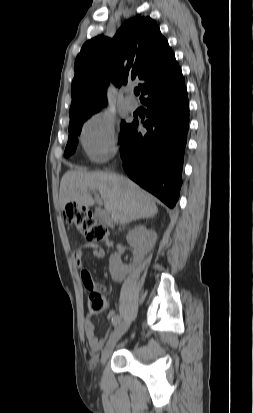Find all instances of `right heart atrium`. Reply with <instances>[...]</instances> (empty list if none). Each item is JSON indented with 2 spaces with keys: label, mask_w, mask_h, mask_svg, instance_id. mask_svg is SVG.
I'll return each instance as SVG.
<instances>
[{
  "label": "right heart atrium",
  "mask_w": 253,
  "mask_h": 413,
  "mask_svg": "<svg viewBox=\"0 0 253 413\" xmlns=\"http://www.w3.org/2000/svg\"><path fill=\"white\" fill-rule=\"evenodd\" d=\"M81 143L87 157L102 163L116 151V134L114 119L105 113L91 116L84 124Z\"/></svg>",
  "instance_id": "right-heart-atrium-1"
}]
</instances>
